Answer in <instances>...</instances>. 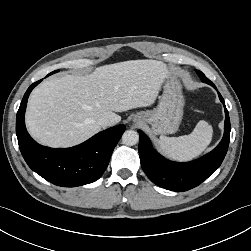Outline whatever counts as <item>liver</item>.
Listing matches in <instances>:
<instances>
[{
  "label": "liver",
  "instance_id": "liver-1",
  "mask_svg": "<svg viewBox=\"0 0 251 251\" xmlns=\"http://www.w3.org/2000/svg\"><path fill=\"white\" fill-rule=\"evenodd\" d=\"M166 77L161 61L130 60L45 80L28 101V132L46 146H74L100 131V117L114 125L121 120L115 112L153 104Z\"/></svg>",
  "mask_w": 251,
  "mask_h": 251
}]
</instances>
